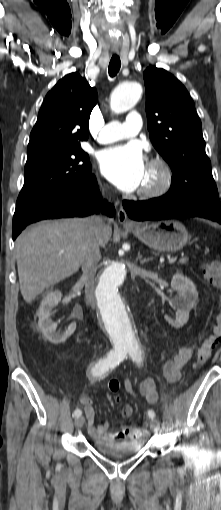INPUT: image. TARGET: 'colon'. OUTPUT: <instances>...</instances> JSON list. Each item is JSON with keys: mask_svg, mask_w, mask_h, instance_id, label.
<instances>
[{"mask_svg": "<svg viewBox=\"0 0 221 510\" xmlns=\"http://www.w3.org/2000/svg\"><path fill=\"white\" fill-rule=\"evenodd\" d=\"M205 275L207 279L217 288L221 289V271L210 262L205 263ZM221 339V320L216 324L214 332L206 337L200 347L197 350L196 358L194 362L195 367H200L210 358L213 350L215 349L218 341ZM108 388L111 392L117 393L120 389V382L117 379H111L108 383ZM116 401L119 398L115 399ZM131 410L129 408H124L122 410L123 416H128ZM135 437L140 435L138 430L133 432Z\"/></svg>", "mask_w": 221, "mask_h": 510, "instance_id": "colon-1", "label": "colon"}]
</instances>
